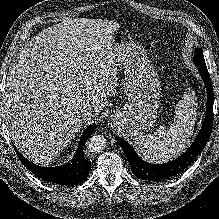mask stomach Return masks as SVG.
<instances>
[{
    "mask_svg": "<svg viewBox=\"0 0 219 219\" xmlns=\"http://www.w3.org/2000/svg\"><path fill=\"white\" fill-rule=\"evenodd\" d=\"M111 53L124 70L122 85L127 102L110 120L126 136L144 134L156 122L162 96L160 77L146 50L137 42L122 40L114 44Z\"/></svg>",
    "mask_w": 219,
    "mask_h": 219,
    "instance_id": "0dacf381",
    "label": "stomach"
}]
</instances>
